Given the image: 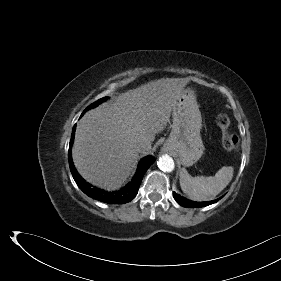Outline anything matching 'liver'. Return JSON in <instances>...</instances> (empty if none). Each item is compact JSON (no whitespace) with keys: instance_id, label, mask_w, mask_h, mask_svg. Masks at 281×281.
I'll use <instances>...</instances> for the list:
<instances>
[{"instance_id":"1","label":"liver","mask_w":281,"mask_h":281,"mask_svg":"<svg viewBox=\"0 0 281 281\" xmlns=\"http://www.w3.org/2000/svg\"><path fill=\"white\" fill-rule=\"evenodd\" d=\"M188 82V78H161L88 111L77 124L72 148L79 174L99 188L118 189L139 157L137 146H151L165 129Z\"/></svg>"}]
</instances>
